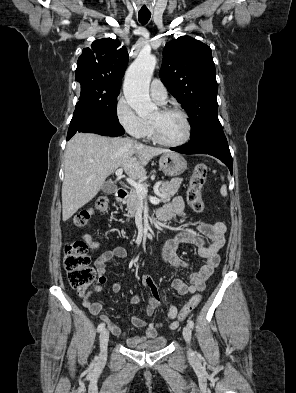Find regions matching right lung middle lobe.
<instances>
[{
    "mask_svg": "<svg viewBox=\"0 0 296 393\" xmlns=\"http://www.w3.org/2000/svg\"><path fill=\"white\" fill-rule=\"evenodd\" d=\"M119 91H104L91 85L81 86V96L76 107H86L110 119L118 120L117 97Z\"/></svg>",
    "mask_w": 296,
    "mask_h": 393,
    "instance_id": "right-lung-middle-lobe-1",
    "label": "right lung middle lobe"
}]
</instances>
